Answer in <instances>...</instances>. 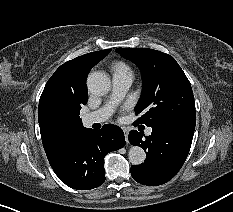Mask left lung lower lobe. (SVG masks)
Here are the masks:
<instances>
[{"label":"left lung lower lobe","mask_w":233,"mask_h":212,"mask_svg":"<svg viewBox=\"0 0 233 212\" xmlns=\"http://www.w3.org/2000/svg\"><path fill=\"white\" fill-rule=\"evenodd\" d=\"M152 134L132 130L128 139L132 145L146 151V159L140 165L131 166V175L143 185L156 186L172 179L184 164L193 139L194 131L161 126L152 128Z\"/></svg>","instance_id":"obj_1"}]
</instances>
